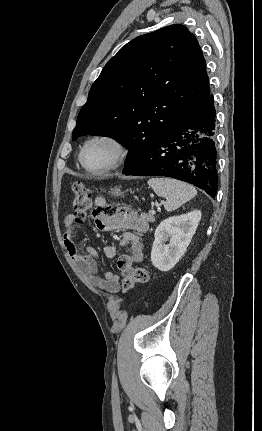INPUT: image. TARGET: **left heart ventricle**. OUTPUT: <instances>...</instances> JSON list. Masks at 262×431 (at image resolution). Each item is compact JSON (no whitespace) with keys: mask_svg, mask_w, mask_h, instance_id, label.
<instances>
[{"mask_svg":"<svg viewBox=\"0 0 262 431\" xmlns=\"http://www.w3.org/2000/svg\"><path fill=\"white\" fill-rule=\"evenodd\" d=\"M114 157L113 146L104 141L92 143L84 154V164L93 170L108 166Z\"/></svg>","mask_w":262,"mask_h":431,"instance_id":"obj_1","label":"left heart ventricle"}]
</instances>
